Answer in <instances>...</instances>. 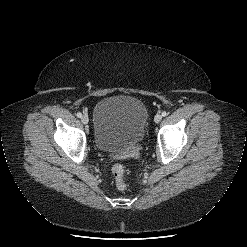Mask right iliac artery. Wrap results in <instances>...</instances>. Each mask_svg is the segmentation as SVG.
I'll return each mask as SVG.
<instances>
[{
	"instance_id": "1",
	"label": "right iliac artery",
	"mask_w": 247,
	"mask_h": 247,
	"mask_svg": "<svg viewBox=\"0 0 247 247\" xmlns=\"http://www.w3.org/2000/svg\"><path fill=\"white\" fill-rule=\"evenodd\" d=\"M76 116H77L78 118H81V117H82V114H81L80 112H78V113L76 114Z\"/></svg>"
}]
</instances>
